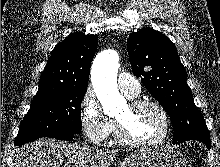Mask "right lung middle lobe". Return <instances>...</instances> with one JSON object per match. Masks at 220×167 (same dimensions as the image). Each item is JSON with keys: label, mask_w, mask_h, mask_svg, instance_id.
Returning <instances> with one entry per match:
<instances>
[{"label": "right lung middle lobe", "mask_w": 220, "mask_h": 167, "mask_svg": "<svg viewBox=\"0 0 220 167\" xmlns=\"http://www.w3.org/2000/svg\"><path fill=\"white\" fill-rule=\"evenodd\" d=\"M87 88H66L35 99L20 124L15 145L42 137L76 134L81 131L80 107Z\"/></svg>", "instance_id": "1"}]
</instances>
